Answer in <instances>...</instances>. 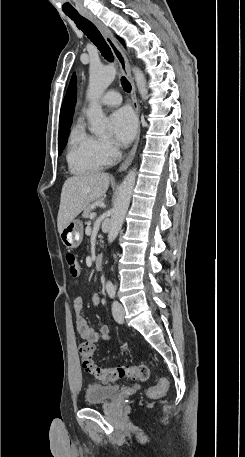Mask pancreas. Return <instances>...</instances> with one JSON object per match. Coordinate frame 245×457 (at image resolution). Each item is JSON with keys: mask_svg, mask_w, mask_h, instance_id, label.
Returning <instances> with one entry per match:
<instances>
[{"mask_svg": "<svg viewBox=\"0 0 245 457\" xmlns=\"http://www.w3.org/2000/svg\"><path fill=\"white\" fill-rule=\"evenodd\" d=\"M92 210H94V206H92V204H87V206H85V208L82 212L83 218H90V214H92Z\"/></svg>", "mask_w": 245, "mask_h": 457, "instance_id": "1", "label": "pancreas"}]
</instances>
